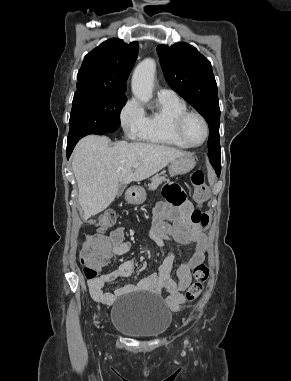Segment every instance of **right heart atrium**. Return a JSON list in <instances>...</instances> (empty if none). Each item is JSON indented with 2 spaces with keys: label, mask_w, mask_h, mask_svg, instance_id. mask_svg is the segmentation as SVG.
Masks as SVG:
<instances>
[{
  "label": "right heart atrium",
  "mask_w": 291,
  "mask_h": 381,
  "mask_svg": "<svg viewBox=\"0 0 291 381\" xmlns=\"http://www.w3.org/2000/svg\"><path fill=\"white\" fill-rule=\"evenodd\" d=\"M121 126L128 137H136L142 128L144 113L136 99L126 101L119 114Z\"/></svg>",
  "instance_id": "right-heart-atrium-1"
}]
</instances>
